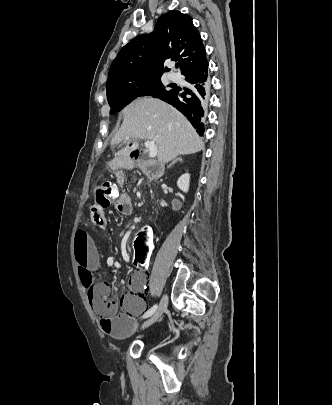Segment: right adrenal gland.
Listing matches in <instances>:
<instances>
[{
    "label": "right adrenal gland",
    "mask_w": 332,
    "mask_h": 405,
    "mask_svg": "<svg viewBox=\"0 0 332 405\" xmlns=\"http://www.w3.org/2000/svg\"><path fill=\"white\" fill-rule=\"evenodd\" d=\"M176 162H183V159L181 157L175 158L174 160H172V162L168 165V167H171L173 164H175Z\"/></svg>",
    "instance_id": "1"
}]
</instances>
